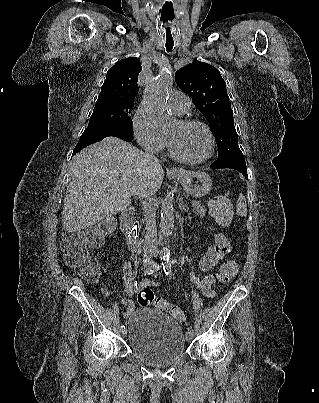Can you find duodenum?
Returning a JSON list of instances; mask_svg holds the SVG:
<instances>
[{"label":"duodenum","mask_w":319,"mask_h":403,"mask_svg":"<svg viewBox=\"0 0 319 403\" xmlns=\"http://www.w3.org/2000/svg\"><path fill=\"white\" fill-rule=\"evenodd\" d=\"M133 216V207L123 210L120 216L121 226L129 248L133 251H141L144 248V241L138 235V229L133 223Z\"/></svg>","instance_id":"duodenum-1"}]
</instances>
